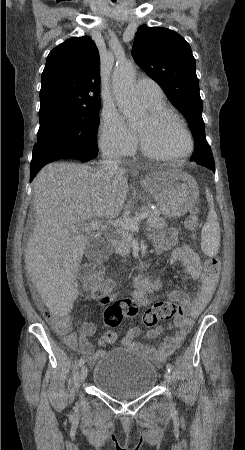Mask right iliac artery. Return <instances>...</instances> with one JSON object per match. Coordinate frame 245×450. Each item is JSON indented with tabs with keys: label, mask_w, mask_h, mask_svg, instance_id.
Masks as SVG:
<instances>
[{
	"label": "right iliac artery",
	"mask_w": 245,
	"mask_h": 450,
	"mask_svg": "<svg viewBox=\"0 0 245 450\" xmlns=\"http://www.w3.org/2000/svg\"><path fill=\"white\" fill-rule=\"evenodd\" d=\"M83 364H84V359L81 358V359L79 360V366L81 367Z\"/></svg>",
	"instance_id": "obj_1"
}]
</instances>
